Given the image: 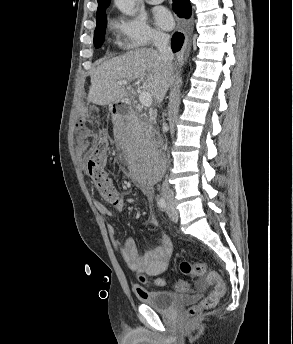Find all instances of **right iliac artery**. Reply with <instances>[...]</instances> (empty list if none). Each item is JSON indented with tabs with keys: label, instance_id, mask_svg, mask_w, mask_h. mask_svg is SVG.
<instances>
[{
	"label": "right iliac artery",
	"instance_id": "82829eb1",
	"mask_svg": "<svg viewBox=\"0 0 293 344\" xmlns=\"http://www.w3.org/2000/svg\"><path fill=\"white\" fill-rule=\"evenodd\" d=\"M157 204L159 206V208H161L162 210H165L166 209V201L164 198H159L158 201H157Z\"/></svg>",
	"mask_w": 293,
	"mask_h": 344
}]
</instances>
